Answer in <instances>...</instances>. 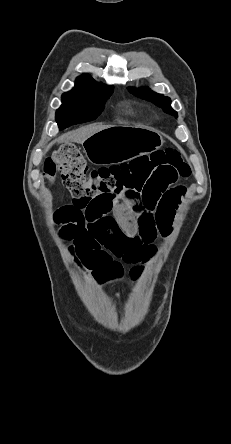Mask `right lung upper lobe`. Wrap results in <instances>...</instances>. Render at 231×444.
Segmentation results:
<instances>
[{"label": "right lung upper lobe", "instance_id": "right-lung-upper-lobe-1", "mask_svg": "<svg viewBox=\"0 0 231 444\" xmlns=\"http://www.w3.org/2000/svg\"><path fill=\"white\" fill-rule=\"evenodd\" d=\"M113 86L98 84L89 74H83L77 78L75 87L70 92L73 93H99Z\"/></svg>", "mask_w": 231, "mask_h": 444}]
</instances>
